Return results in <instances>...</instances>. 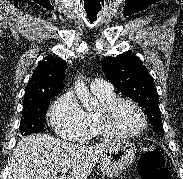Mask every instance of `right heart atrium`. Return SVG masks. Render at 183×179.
Listing matches in <instances>:
<instances>
[{"mask_svg": "<svg viewBox=\"0 0 183 179\" xmlns=\"http://www.w3.org/2000/svg\"><path fill=\"white\" fill-rule=\"evenodd\" d=\"M50 122L57 135L66 140L82 141L90 134L87 115L70 92L64 93L53 104Z\"/></svg>", "mask_w": 183, "mask_h": 179, "instance_id": "1", "label": "right heart atrium"}]
</instances>
